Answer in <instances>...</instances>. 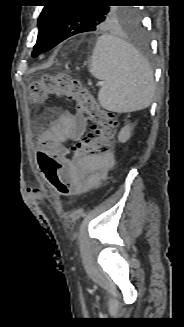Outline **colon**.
Segmentation results:
<instances>
[{
  "label": "colon",
  "instance_id": "1",
  "mask_svg": "<svg viewBox=\"0 0 184 327\" xmlns=\"http://www.w3.org/2000/svg\"><path fill=\"white\" fill-rule=\"evenodd\" d=\"M29 98L41 102L49 98L72 101L76 109L88 116L92 124L87 135L74 147L79 156L86 157L108 151L113 141L117 120L114 114L103 109L81 82L67 74H45L34 80L29 89ZM68 154L38 155L40 169L51 187L62 197L73 195V186L65 177Z\"/></svg>",
  "mask_w": 184,
  "mask_h": 327
}]
</instances>
